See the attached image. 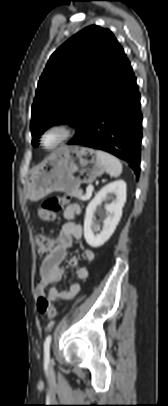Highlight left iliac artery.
Returning <instances> with one entry per match:
<instances>
[{
	"label": "left iliac artery",
	"mask_w": 168,
	"mask_h": 406,
	"mask_svg": "<svg viewBox=\"0 0 168 406\" xmlns=\"http://www.w3.org/2000/svg\"><path fill=\"white\" fill-rule=\"evenodd\" d=\"M51 335H48L44 341V360L49 362L50 360V344H51Z\"/></svg>",
	"instance_id": "obj_1"
}]
</instances>
